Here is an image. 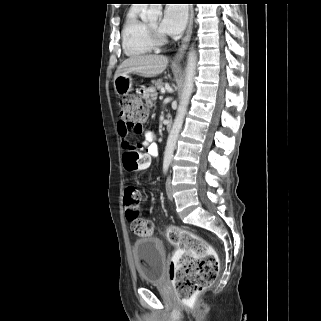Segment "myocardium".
<instances>
[{
	"instance_id": "f54148a6",
	"label": "myocardium",
	"mask_w": 321,
	"mask_h": 321,
	"mask_svg": "<svg viewBox=\"0 0 321 321\" xmlns=\"http://www.w3.org/2000/svg\"><path fill=\"white\" fill-rule=\"evenodd\" d=\"M147 30H148L150 41L155 47L163 46L167 43L168 40L166 36L163 35L161 32L157 31L150 24H147Z\"/></svg>"
}]
</instances>
